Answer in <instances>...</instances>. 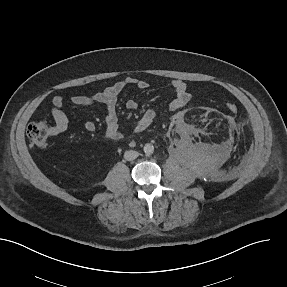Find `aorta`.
Returning <instances> with one entry per match:
<instances>
[{
  "label": "aorta",
  "mask_w": 287,
  "mask_h": 287,
  "mask_svg": "<svg viewBox=\"0 0 287 287\" xmlns=\"http://www.w3.org/2000/svg\"><path fill=\"white\" fill-rule=\"evenodd\" d=\"M143 150H144V153H145L147 156H149V155L153 154V152H154V146H153L152 144H150V143H147V144L144 145Z\"/></svg>",
  "instance_id": "aorta-1"
}]
</instances>
